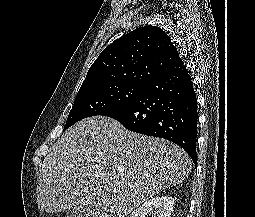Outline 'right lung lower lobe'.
Here are the masks:
<instances>
[{"label":"right lung lower lobe","instance_id":"98d812e1","mask_svg":"<svg viewBox=\"0 0 255 217\" xmlns=\"http://www.w3.org/2000/svg\"><path fill=\"white\" fill-rule=\"evenodd\" d=\"M102 115L128 130L177 143L196 165V93L185 66L160 76L132 102Z\"/></svg>","mask_w":255,"mask_h":217}]
</instances>
